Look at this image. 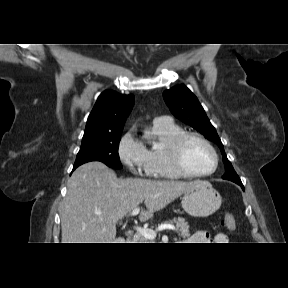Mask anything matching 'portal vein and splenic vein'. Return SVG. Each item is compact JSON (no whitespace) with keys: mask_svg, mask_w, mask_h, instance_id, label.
I'll list each match as a JSON object with an SVG mask.
<instances>
[{"mask_svg":"<svg viewBox=\"0 0 288 288\" xmlns=\"http://www.w3.org/2000/svg\"><path fill=\"white\" fill-rule=\"evenodd\" d=\"M140 212L139 207H136L132 210V212L130 213L131 216H135ZM136 231L142 235L143 237H145L148 240H153L156 235H157V231H163V230H174L175 228L170 225V224H162L158 227V229L156 231H153L151 229L148 228H142V227H136L135 228Z\"/></svg>","mask_w":288,"mask_h":288,"instance_id":"1","label":"portal vein and splenic vein"}]
</instances>
